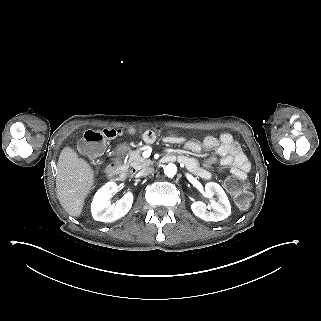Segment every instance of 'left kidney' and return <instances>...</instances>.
<instances>
[{
	"label": "left kidney",
	"mask_w": 321,
	"mask_h": 321,
	"mask_svg": "<svg viewBox=\"0 0 321 321\" xmlns=\"http://www.w3.org/2000/svg\"><path fill=\"white\" fill-rule=\"evenodd\" d=\"M205 190L209 198L214 195L217 197L216 201H212L210 204L212 212L206 211L205 203L197 201L192 202L190 205L193 214L202 220L214 222L229 217L231 215V205L223 188L215 182H208L205 185Z\"/></svg>",
	"instance_id": "left-kidney-1"
}]
</instances>
